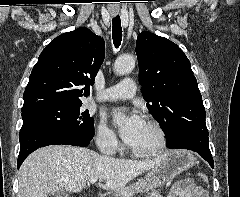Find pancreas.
I'll use <instances>...</instances> for the list:
<instances>
[{
	"mask_svg": "<svg viewBox=\"0 0 240 197\" xmlns=\"http://www.w3.org/2000/svg\"><path fill=\"white\" fill-rule=\"evenodd\" d=\"M147 197H162V196L158 191H153Z\"/></svg>",
	"mask_w": 240,
	"mask_h": 197,
	"instance_id": "cf45deb5",
	"label": "pancreas"
}]
</instances>
